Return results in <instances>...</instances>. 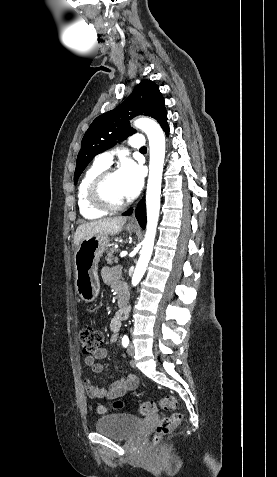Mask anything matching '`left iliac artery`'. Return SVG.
Returning a JSON list of instances; mask_svg holds the SVG:
<instances>
[{
  "label": "left iliac artery",
  "instance_id": "left-iliac-artery-1",
  "mask_svg": "<svg viewBox=\"0 0 277 477\" xmlns=\"http://www.w3.org/2000/svg\"><path fill=\"white\" fill-rule=\"evenodd\" d=\"M128 344H129V338H128L127 335H124L123 338H122V345H123L124 347H127Z\"/></svg>",
  "mask_w": 277,
  "mask_h": 477
}]
</instances>
